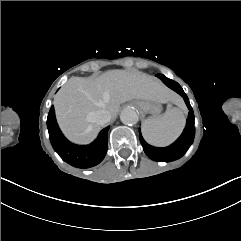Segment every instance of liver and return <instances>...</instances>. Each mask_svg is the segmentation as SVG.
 <instances>
[{"label": "liver", "instance_id": "1", "mask_svg": "<svg viewBox=\"0 0 241 241\" xmlns=\"http://www.w3.org/2000/svg\"><path fill=\"white\" fill-rule=\"evenodd\" d=\"M178 96L156 77L141 72L110 70L98 77H71L56 93L54 107L64 135L77 144H89L101 129L89 123L90 112L104 109L115 118L120 105L133 99L177 102Z\"/></svg>", "mask_w": 241, "mask_h": 241}]
</instances>
